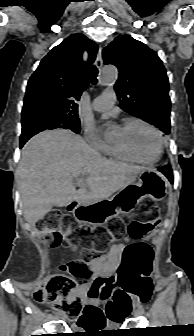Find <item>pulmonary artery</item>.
<instances>
[{
    "mask_svg": "<svg viewBox=\"0 0 194 336\" xmlns=\"http://www.w3.org/2000/svg\"><path fill=\"white\" fill-rule=\"evenodd\" d=\"M115 101V93L112 90H105L92 102V109L97 112H107Z\"/></svg>",
    "mask_w": 194,
    "mask_h": 336,
    "instance_id": "obj_1",
    "label": "pulmonary artery"
}]
</instances>
